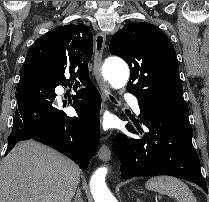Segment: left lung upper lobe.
<instances>
[{"instance_id":"5c2ea615","label":"left lung upper lobe","mask_w":209,"mask_h":202,"mask_svg":"<svg viewBox=\"0 0 209 202\" xmlns=\"http://www.w3.org/2000/svg\"><path fill=\"white\" fill-rule=\"evenodd\" d=\"M110 53L130 68L126 90L138 101L173 109H187L174 46L156 26L131 23L113 35Z\"/></svg>"}]
</instances>
